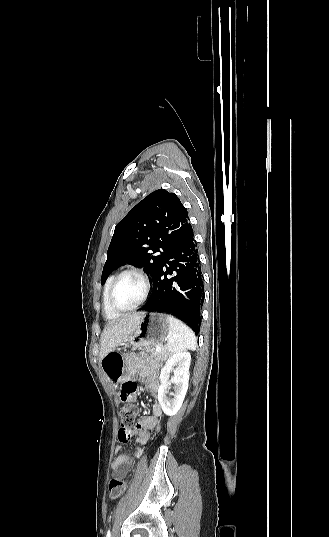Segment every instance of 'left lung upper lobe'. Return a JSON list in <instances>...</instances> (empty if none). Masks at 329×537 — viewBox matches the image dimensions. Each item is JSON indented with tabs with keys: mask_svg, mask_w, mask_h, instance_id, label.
<instances>
[{
	"mask_svg": "<svg viewBox=\"0 0 329 537\" xmlns=\"http://www.w3.org/2000/svg\"><path fill=\"white\" fill-rule=\"evenodd\" d=\"M189 227L187 209L174 193L152 192L116 225L101 282L124 263L142 266L153 277Z\"/></svg>",
	"mask_w": 329,
	"mask_h": 537,
	"instance_id": "5c2ea615",
	"label": "left lung upper lobe"
}]
</instances>
